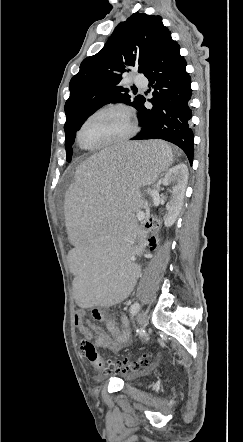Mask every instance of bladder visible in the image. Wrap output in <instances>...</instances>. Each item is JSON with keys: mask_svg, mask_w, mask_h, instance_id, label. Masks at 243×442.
<instances>
[{"mask_svg": "<svg viewBox=\"0 0 243 442\" xmlns=\"http://www.w3.org/2000/svg\"><path fill=\"white\" fill-rule=\"evenodd\" d=\"M139 377V375H134L133 376V379H136V378H138Z\"/></svg>", "mask_w": 243, "mask_h": 442, "instance_id": "1", "label": "bladder"}]
</instances>
